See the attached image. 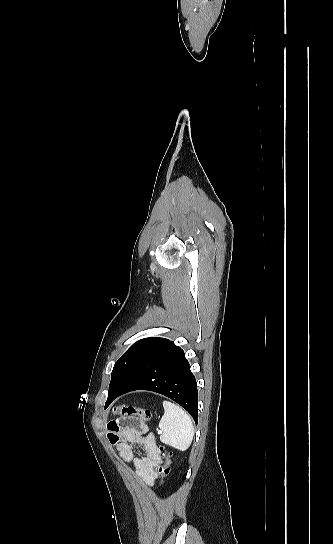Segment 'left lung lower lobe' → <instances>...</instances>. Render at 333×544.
<instances>
[{"mask_svg":"<svg viewBox=\"0 0 333 544\" xmlns=\"http://www.w3.org/2000/svg\"><path fill=\"white\" fill-rule=\"evenodd\" d=\"M135 390H149L169 397L198 420V391L195 377L183 350L169 341L119 391L108 393L107 408L115 398Z\"/></svg>","mask_w":333,"mask_h":544,"instance_id":"0a47b994","label":"left lung lower lobe"}]
</instances>
